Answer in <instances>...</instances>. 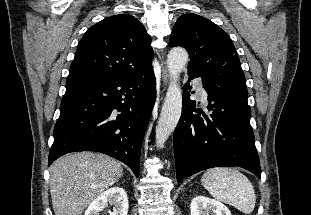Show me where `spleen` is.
I'll use <instances>...</instances> for the list:
<instances>
[{"instance_id":"obj_1","label":"spleen","mask_w":311,"mask_h":215,"mask_svg":"<svg viewBox=\"0 0 311 215\" xmlns=\"http://www.w3.org/2000/svg\"><path fill=\"white\" fill-rule=\"evenodd\" d=\"M201 182L215 199L230 204L245 214L254 210L256 196L253 185L238 170L211 168L204 172Z\"/></svg>"}]
</instances>
